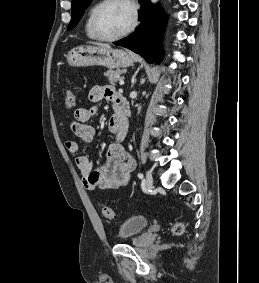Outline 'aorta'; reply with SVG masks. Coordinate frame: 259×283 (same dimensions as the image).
I'll use <instances>...</instances> for the list:
<instances>
[{"mask_svg":"<svg viewBox=\"0 0 259 283\" xmlns=\"http://www.w3.org/2000/svg\"><path fill=\"white\" fill-rule=\"evenodd\" d=\"M158 0H151L152 3H156Z\"/></svg>","mask_w":259,"mask_h":283,"instance_id":"aorta-1","label":"aorta"}]
</instances>
